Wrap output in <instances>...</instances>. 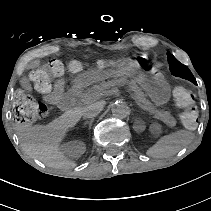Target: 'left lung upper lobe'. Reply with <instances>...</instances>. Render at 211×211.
<instances>
[{
	"mask_svg": "<svg viewBox=\"0 0 211 211\" xmlns=\"http://www.w3.org/2000/svg\"><path fill=\"white\" fill-rule=\"evenodd\" d=\"M167 56L170 71L174 76L181 77L196 84V80L187 66L181 64L171 53H167Z\"/></svg>",
	"mask_w": 211,
	"mask_h": 211,
	"instance_id": "left-lung-upper-lobe-1",
	"label": "left lung upper lobe"
}]
</instances>
